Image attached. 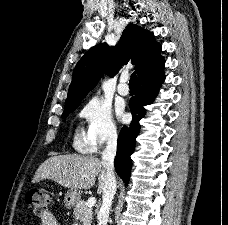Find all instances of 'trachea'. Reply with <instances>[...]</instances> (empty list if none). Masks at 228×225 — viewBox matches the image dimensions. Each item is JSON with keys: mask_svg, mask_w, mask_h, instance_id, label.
<instances>
[{"mask_svg": "<svg viewBox=\"0 0 228 225\" xmlns=\"http://www.w3.org/2000/svg\"><path fill=\"white\" fill-rule=\"evenodd\" d=\"M129 87H136V73H132L130 78Z\"/></svg>", "mask_w": 228, "mask_h": 225, "instance_id": "trachea-1", "label": "trachea"}]
</instances>
